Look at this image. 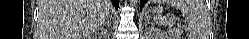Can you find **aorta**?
<instances>
[{
  "label": "aorta",
  "instance_id": "aorta-1",
  "mask_svg": "<svg viewBox=\"0 0 249 39\" xmlns=\"http://www.w3.org/2000/svg\"><path fill=\"white\" fill-rule=\"evenodd\" d=\"M130 2L135 4V2H137V0H130Z\"/></svg>",
  "mask_w": 249,
  "mask_h": 39
}]
</instances>
